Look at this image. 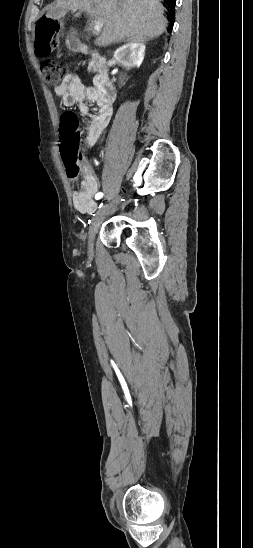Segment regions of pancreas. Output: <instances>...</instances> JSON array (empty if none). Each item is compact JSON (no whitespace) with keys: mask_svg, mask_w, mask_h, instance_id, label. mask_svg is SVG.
I'll return each instance as SVG.
<instances>
[{"mask_svg":"<svg viewBox=\"0 0 253 548\" xmlns=\"http://www.w3.org/2000/svg\"><path fill=\"white\" fill-rule=\"evenodd\" d=\"M89 70H92L94 72L97 71V68L95 66V64L93 62L89 63V67H88ZM94 81H96V77L94 78Z\"/></svg>","mask_w":253,"mask_h":548,"instance_id":"cf45deb5","label":"pancreas"}]
</instances>
